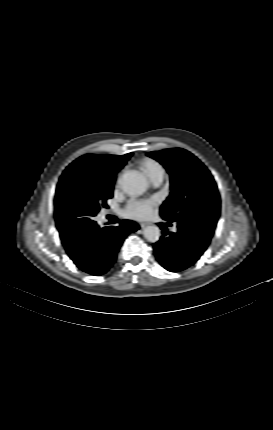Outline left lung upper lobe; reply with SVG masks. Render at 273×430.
<instances>
[{
    "mask_svg": "<svg viewBox=\"0 0 273 430\" xmlns=\"http://www.w3.org/2000/svg\"><path fill=\"white\" fill-rule=\"evenodd\" d=\"M147 155L159 161L171 177L172 191L161 206V216L192 228L209 243L220 215L221 202L211 173L184 149H165Z\"/></svg>",
    "mask_w": 273,
    "mask_h": 430,
    "instance_id": "5c2ea615",
    "label": "left lung upper lobe"
}]
</instances>
